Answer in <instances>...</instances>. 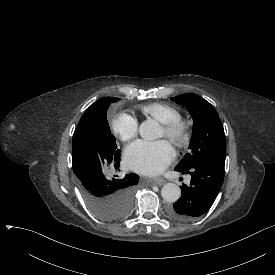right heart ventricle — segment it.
Here are the masks:
<instances>
[{
    "label": "right heart ventricle",
    "instance_id": "right-heart-ventricle-1",
    "mask_svg": "<svg viewBox=\"0 0 275 275\" xmlns=\"http://www.w3.org/2000/svg\"><path fill=\"white\" fill-rule=\"evenodd\" d=\"M140 109L143 113L162 124L172 122L180 117L179 112L175 108L160 102L141 106Z\"/></svg>",
    "mask_w": 275,
    "mask_h": 275
}]
</instances>
